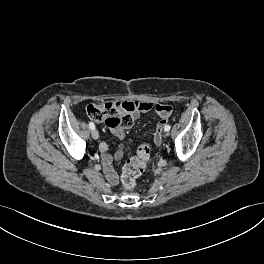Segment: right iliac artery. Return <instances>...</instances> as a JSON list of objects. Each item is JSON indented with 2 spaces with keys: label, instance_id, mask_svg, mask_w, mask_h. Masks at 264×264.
Here are the masks:
<instances>
[{
  "label": "right iliac artery",
  "instance_id": "obj_1",
  "mask_svg": "<svg viewBox=\"0 0 264 264\" xmlns=\"http://www.w3.org/2000/svg\"><path fill=\"white\" fill-rule=\"evenodd\" d=\"M89 127L93 130V129H95V125H94V123L93 122H89Z\"/></svg>",
  "mask_w": 264,
  "mask_h": 264
}]
</instances>
